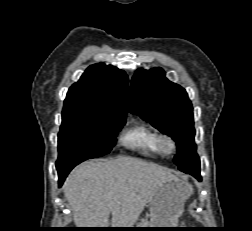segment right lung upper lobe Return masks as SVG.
Masks as SVG:
<instances>
[{
    "label": "right lung upper lobe",
    "instance_id": "1",
    "mask_svg": "<svg viewBox=\"0 0 252 231\" xmlns=\"http://www.w3.org/2000/svg\"><path fill=\"white\" fill-rule=\"evenodd\" d=\"M128 78L124 71L103 63L87 68L66 95L63 109H84L116 115L127 113Z\"/></svg>",
    "mask_w": 252,
    "mask_h": 231
}]
</instances>
